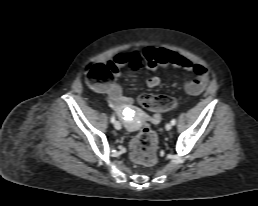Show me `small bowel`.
<instances>
[{
    "label": "small bowel",
    "instance_id": "obj_1",
    "mask_svg": "<svg viewBox=\"0 0 258 206\" xmlns=\"http://www.w3.org/2000/svg\"><path fill=\"white\" fill-rule=\"evenodd\" d=\"M135 57L137 56L126 53L117 54L107 64L112 75V80L98 87L107 96L111 107L124 118L125 124L129 129L134 128L141 117L139 114L127 117V111L131 109L130 99L123 92L118 83V78L120 77L121 70L127 67ZM138 57L141 63L151 70L172 66L194 73V78L187 81L184 85V89L189 95L200 94L209 83V72L206 67L194 63L171 50L148 47ZM160 83L161 79L158 76H153L146 80V85L150 88L156 87ZM148 119L154 123H158L160 116L153 115Z\"/></svg>",
    "mask_w": 258,
    "mask_h": 206
}]
</instances>
